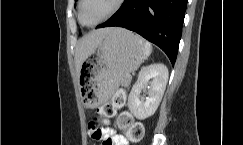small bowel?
I'll use <instances>...</instances> for the list:
<instances>
[{
    "label": "small bowel",
    "mask_w": 243,
    "mask_h": 145,
    "mask_svg": "<svg viewBox=\"0 0 243 145\" xmlns=\"http://www.w3.org/2000/svg\"><path fill=\"white\" fill-rule=\"evenodd\" d=\"M90 136L97 140L102 141L103 145H129L128 138L122 134H117L114 129L110 127L100 128L97 135Z\"/></svg>",
    "instance_id": "1"
}]
</instances>
